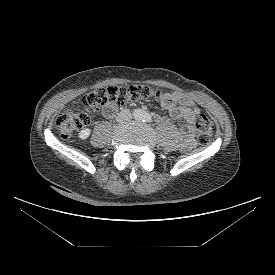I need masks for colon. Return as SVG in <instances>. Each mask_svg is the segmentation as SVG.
Here are the masks:
<instances>
[{"label":"colon","instance_id":"colon-1","mask_svg":"<svg viewBox=\"0 0 275 275\" xmlns=\"http://www.w3.org/2000/svg\"><path fill=\"white\" fill-rule=\"evenodd\" d=\"M162 93L150 86H107L98 88L84 98L85 111L74 112L72 110L64 111L58 114L54 124L61 137L69 138L79 129L90 123V114L92 111L103 107L109 103L126 105L142 99L160 98ZM196 129L198 141L201 145L207 144L213 135L210 120L205 115H200L196 120Z\"/></svg>","mask_w":275,"mask_h":275}]
</instances>
